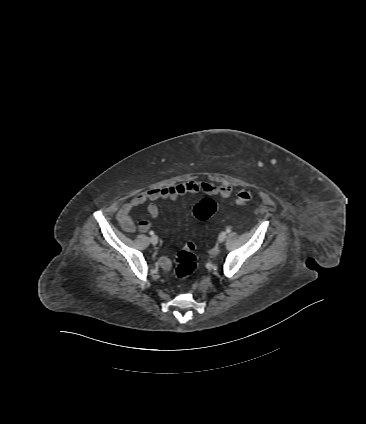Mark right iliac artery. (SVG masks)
Returning <instances> with one entry per match:
<instances>
[{"label": "right iliac artery", "mask_w": 366, "mask_h": 424, "mask_svg": "<svg viewBox=\"0 0 366 424\" xmlns=\"http://www.w3.org/2000/svg\"><path fill=\"white\" fill-rule=\"evenodd\" d=\"M149 234H150V235H154V232H153V231H150V232H149Z\"/></svg>", "instance_id": "82829eb1"}]
</instances>
